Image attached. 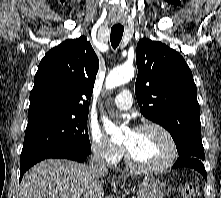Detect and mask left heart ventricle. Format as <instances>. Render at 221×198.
Returning <instances> with one entry per match:
<instances>
[{
  "label": "left heart ventricle",
  "mask_w": 221,
  "mask_h": 198,
  "mask_svg": "<svg viewBox=\"0 0 221 198\" xmlns=\"http://www.w3.org/2000/svg\"><path fill=\"white\" fill-rule=\"evenodd\" d=\"M123 144L133 159L143 166L159 165L169 154L167 139L160 131L152 128L127 133Z\"/></svg>",
  "instance_id": "b2bd125f"
}]
</instances>
